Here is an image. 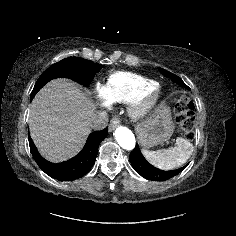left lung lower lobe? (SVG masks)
<instances>
[{
  "mask_svg": "<svg viewBox=\"0 0 236 236\" xmlns=\"http://www.w3.org/2000/svg\"><path fill=\"white\" fill-rule=\"evenodd\" d=\"M129 159L133 168L138 174H140L142 177L146 179L154 180V181L168 180L176 176L177 174H179L188 165L187 164L173 171L159 170L158 168L152 166L150 163L147 162V160L142 155L138 145L131 152Z\"/></svg>",
  "mask_w": 236,
  "mask_h": 236,
  "instance_id": "0a47b994",
  "label": "left lung lower lobe"
}]
</instances>
